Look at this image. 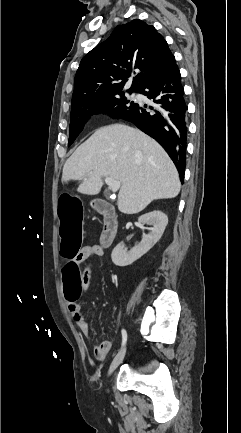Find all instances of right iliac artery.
<instances>
[{"label":"right iliac artery","mask_w":241,"mask_h":433,"mask_svg":"<svg viewBox=\"0 0 241 433\" xmlns=\"http://www.w3.org/2000/svg\"><path fill=\"white\" fill-rule=\"evenodd\" d=\"M121 332H122V346H124L127 341V332L125 329H122Z\"/></svg>","instance_id":"obj_1"}]
</instances>
